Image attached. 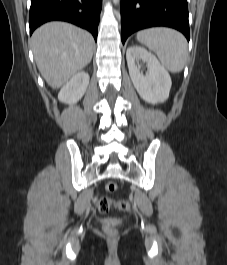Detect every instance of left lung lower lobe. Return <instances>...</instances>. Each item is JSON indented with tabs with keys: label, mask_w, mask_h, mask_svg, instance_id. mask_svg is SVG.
I'll list each match as a JSON object with an SVG mask.
<instances>
[{
	"label": "left lung lower lobe",
	"mask_w": 227,
	"mask_h": 265,
	"mask_svg": "<svg viewBox=\"0 0 227 265\" xmlns=\"http://www.w3.org/2000/svg\"><path fill=\"white\" fill-rule=\"evenodd\" d=\"M167 26L190 39L187 0H121V38L123 44L135 31Z\"/></svg>",
	"instance_id": "1"
}]
</instances>
